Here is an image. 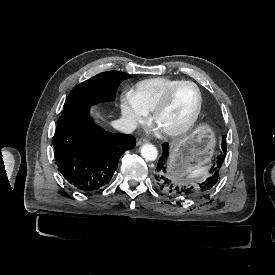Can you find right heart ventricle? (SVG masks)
Returning <instances> with one entry per match:
<instances>
[{"instance_id": "obj_1", "label": "right heart ventricle", "mask_w": 275, "mask_h": 275, "mask_svg": "<svg viewBox=\"0 0 275 275\" xmlns=\"http://www.w3.org/2000/svg\"><path fill=\"white\" fill-rule=\"evenodd\" d=\"M175 79L167 77L152 78L138 83L133 91L137 103L147 112H152L161 101Z\"/></svg>"}]
</instances>
